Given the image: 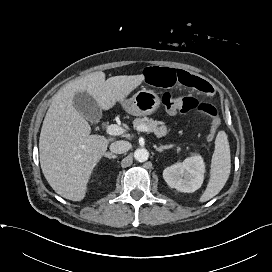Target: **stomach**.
Masks as SVG:
<instances>
[{"instance_id": "obj_1", "label": "stomach", "mask_w": 272, "mask_h": 272, "mask_svg": "<svg viewBox=\"0 0 272 272\" xmlns=\"http://www.w3.org/2000/svg\"><path fill=\"white\" fill-rule=\"evenodd\" d=\"M126 112L134 116H145L154 113L160 106L159 96L152 90L142 89L131 98L121 102Z\"/></svg>"}]
</instances>
